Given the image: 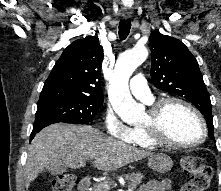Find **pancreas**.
<instances>
[{"instance_id": "cf45deb5", "label": "pancreas", "mask_w": 221, "mask_h": 191, "mask_svg": "<svg viewBox=\"0 0 221 191\" xmlns=\"http://www.w3.org/2000/svg\"><path fill=\"white\" fill-rule=\"evenodd\" d=\"M125 178L128 180V188L135 189L142 181L143 175L140 173L126 174ZM112 183L111 179L104 182L95 184L92 191H108V188L104 184L110 185Z\"/></svg>"}]
</instances>
